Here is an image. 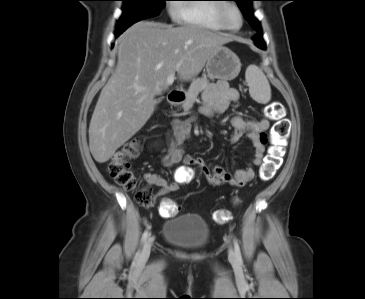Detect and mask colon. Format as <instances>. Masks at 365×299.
Here are the masks:
<instances>
[{"mask_svg": "<svg viewBox=\"0 0 365 299\" xmlns=\"http://www.w3.org/2000/svg\"><path fill=\"white\" fill-rule=\"evenodd\" d=\"M283 107L280 103H274L267 109V115L275 120L271 130V147L266 161L261 167L260 178L263 181L271 180L281 166L284 154L285 140L288 135V123L282 118ZM140 150V143L137 139L127 142L116 152L108 165V172L115 182L127 191H135L136 200L143 206L149 207L153 204V195L149 188H139L138 180L131 170L130 161L134 159ZM187 181V178L184 180ZM178 211V206L172 200L163 201L160 213L163 217H171ZM218 224H224L231 219L227 209H218L213 214Z\"/></svg>", "mask_w": 365, "mask_h": 299, "instance_id": "5ec220e1", "label": "colon"}]
</instances>
